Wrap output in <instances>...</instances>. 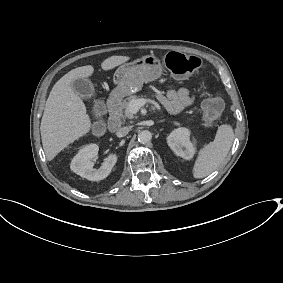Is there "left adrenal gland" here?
Wrapping results in <instances>:
<instances>
[{
    "instance_id": "left-adrenal-gland-1",
    "label": "left adrenal gland",
    "mask_w": 283,
    "mask_h": 283,
    "mask_svg": "<svg viewBox=\"0 0 283 283\" xmlns=\"http://www.w3.org/2000/svg\"><path fill=\"white\" fill-rule=\"evenodd\" d=\"M165 120L163 119V120H160L159 122H164Z\"/></svg>"
}]
</instances>
